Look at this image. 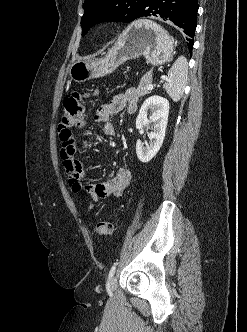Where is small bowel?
Segmentation results:
<instances>
[{"mask_svg":"<svg viewBox=\"0 0 247 332\" xmlns=\"http://www.w3.org/2000/svg\"><path fill=\"white\" fill-rule=\"evenodd\" d=\"M137 101L136 90L129 88L125 92L115 95L108 103L100 106L94 113L93 119L101 124V131L104 135L113 137L115 136V129L112 124V117L123 109H126L128 113H133ZM77 153L78 147L74 139L71 143H63L60 155L73 192L86 194L87 201L93 203L99 199L118 197L123 193L131 179V172L127 168H120L109 181L85 186L86 173L83 165L75 157Z\"/></svg>","mask_w":247,"mask_h":332,"instance_id":"obj_1","label":"small bowel"}]
</instances>
